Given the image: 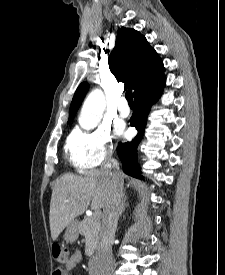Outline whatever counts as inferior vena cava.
<instances>
[{"instance_id":"602c4592","label":"inferior vena cava","mask_w":225,"mask_h":275,"mask_svg":"<svg viewBox=\"0 0 225 275\" xmlns=\"http://www.w3.org/2000/svg\"><path fill=\"white\" fill-rule=\"evenodd\" d=\"M109 176V189L104 208L101 238L98 249L96 275H112L113 257L111 242L117 228L123 194V175L116 160L109 158L104 167Z\"/></svg>"}]
</instances>
